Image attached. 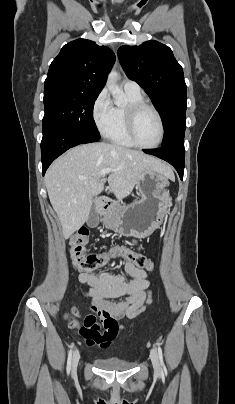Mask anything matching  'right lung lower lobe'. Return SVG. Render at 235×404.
Segmentation results:
<instances>
[{"label": "right lung lower lobe", "instance_id": "obj_1", "mask_svg": "<svg viewBox=\"0 0 235 404\" xmlns=\"http://www.w3.org/2000/svg\"><path fill=\"white\" fill-rule=\"evenodd\" d=\"M99 139L71 128L58 129L43 134L41 142L43 175L53 160L69 148L79 144L96 142Z\"/></svg>", "mask_w": 235, "mask_h": 404}]
</instances>
